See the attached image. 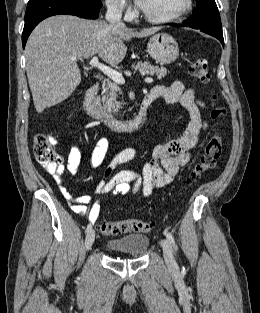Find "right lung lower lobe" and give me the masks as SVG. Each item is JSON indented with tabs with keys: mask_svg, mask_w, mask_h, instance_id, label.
<instances>
[{
	"mask_svg": "<svg viewBox=\"0 0 260 313\" xmlns=\"http://www.w3.org/2000/svg\"><path fill=\"white\" fill-rule=\"evenodd\" d=\"M101 6L102 3L87 0H29L22 34L23 47H25L31 31L43 19L59 14L96 19L99 16Z\"/></svg>",
	"mask_w": 260,
	"mask_h": 313,
	"instance_id": "98d812e1",
	"label": "right lung lower lobe"
}]
</instances>
